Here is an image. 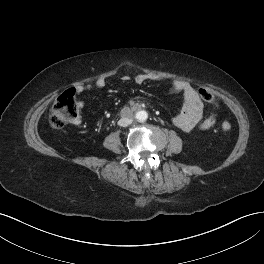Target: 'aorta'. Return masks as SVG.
<instances>
[{
	"instance_id": "762f6f07",
	"label": "aorta",
	"mask_w": 264,
	"mask_h": 264,
	"mask_svg": "<svg viewBox=\"0 0 264 264\" xmlns=\"http://www.w3.org/2000/svg\"><path fill=\"white\" fill-rule=\"evenodd\" d=\"M135 118L139 122H144L148 119V113L145 110H140V111L136 112Z\"/></svg>"
}]
</instances>
